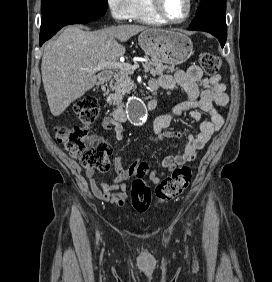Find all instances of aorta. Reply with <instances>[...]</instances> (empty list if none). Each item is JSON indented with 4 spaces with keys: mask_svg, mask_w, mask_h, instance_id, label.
Wrapping results in <instances>:
<instances>
[{
    "mask_svg": "<svg viewBox=\"0 0 272 282\" xmlns=\"http://www.w3.org/2000/svg\"><path fill=\"white\" fill-rule=\"evenodd\" d=\"M129 115L130 120L136 125H142L147 119L144 104L137 96H132L129 100Z\"/></svg>",
    "mask_w": 272,
    "mask_h": 282,
    "instance_id": "obj_1",
    "label": "aorta"
}]
</instances>
